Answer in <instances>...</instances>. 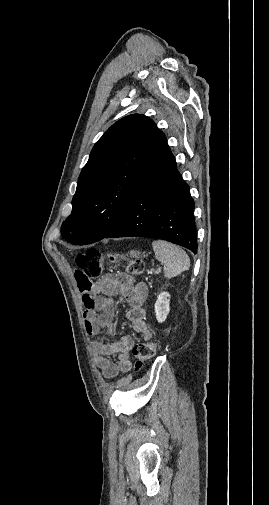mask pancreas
I'll use <instances>...</instances> for the list:
<instances>
[{
	"instance_id": "pancreas-1",
	"label": "pancreas",
	"mask_w": 269,
	"mask_h": 505,
	"mask_svg": "<svg viewBox=\"0 0 269 505\" xmlns=\"http://www.w3.org/2000/svg\"><path fill=\"white\" fill-rule=\"evenodd\" d=\"M159 272H160V270H157V271L154 272V274H159Z\"/></svg>"
}]
</instances>
